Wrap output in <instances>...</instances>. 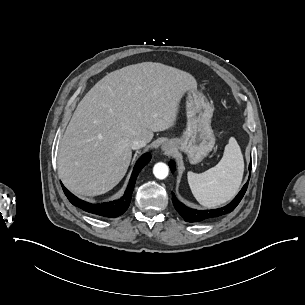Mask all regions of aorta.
<instances>
[{"mask_svg":"<svg viewBox=\"0 0 305 305\" xmlns=\"http://www.w3.org/2000/svg\"><path fill=\"white\" fill-rule=\"evenodd\" d=\"M168 173L169 168L163 162L156 163L153 167V174L158 179H165L168 176Z\"/></svg>","mask_w":305,"mask_h":305,"instance_id":"762f6f07","label":"aorta"}]
</instances>
